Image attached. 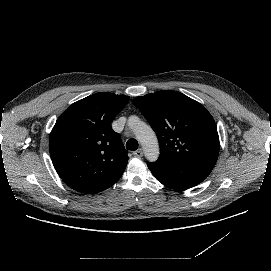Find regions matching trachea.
Returning <instances> with one entry per match:
<instances>
[{
  "label": "trachea",
  "mask_w": 271,
  "mask_h": 271,
  "mask_svg": "<svg viewBox=\"0 0 271 271\" xmlns=\"http://www.w3.org/2000/svg\"><path fill=\"white\" fill-rule=\"evenodd\" d=\"M126 148L128 150H137L138 149V142L136 139H129L126 143Z\"/></svg>",
  "instance_id": "trachea-1"
}]
</instances>
